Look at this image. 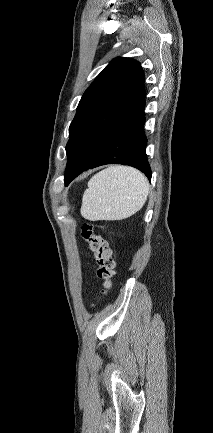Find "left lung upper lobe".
<instances>
[{"label":"left lung upper lobe","instance_id":"1","mask_svg":"<svg viewBox=\"0 0 213 433\" xmlns=\"http://www.w3.org/2000/svg\"><path fill=\"white\" fill-rule=\"evenodd\" d=\"M143 90L144 73L136 60L117 58L101 71L83 94L69 127L65 184L93 158Z\"/></svg>","mask_w":213,"mask_h":433}]
</instances>
